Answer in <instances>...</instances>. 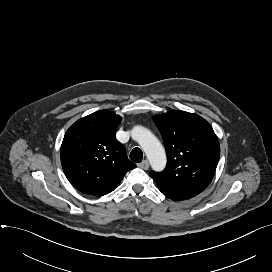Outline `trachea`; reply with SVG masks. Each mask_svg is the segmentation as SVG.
<instances>
[{
    "instance_id": "obj_1",
    "label": "trachea",
    "mask_w": 272,
    "mask_h": 272,
    "mask_svg": "<svg viewBox=\"0 0 272 272\" xmlns=\"http://www.w3.org/2000/svg\"><path fill=\"white\" fill-rule=\"evenodd\" d=\"M143 158V152L140 148H134L130 153V159L133 162L140 163Z\"/></svg>"
}]
</instances>
